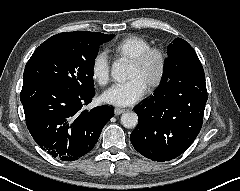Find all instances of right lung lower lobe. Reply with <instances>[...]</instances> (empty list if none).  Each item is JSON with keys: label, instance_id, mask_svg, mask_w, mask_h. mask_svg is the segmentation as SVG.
<instances>
[{"label": "right lung lower lobe", "instance_id": "1", "mask_svg": "<svg viewBox=\"0 0 240 191\" xmlns=\"http://www.w3.org/2000/svg\"><path fill=\"white\" fill-rule=\"evenodd\" d=\"M94 95L95 90L77 94L52 84H23L20 100L35 142L62 161H74L91 151L114 115L107 105L84 110Z\"/></svg>", "mask_w": 240, "mask_h": 191}]
</instances>
